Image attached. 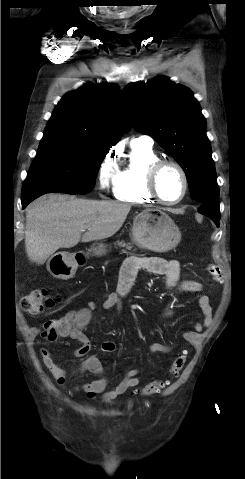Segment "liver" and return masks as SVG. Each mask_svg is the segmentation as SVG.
I'll use <instances>...</instances> for the list:
<instances>
[{"label":"liver","instance_id":"6515ba94","mask_svg":"<svg viewBox=\"0 0 245 479\" xmlns=\"http://www.w3.org/2000/svg\"><path fill=\"white\" fill-rule=\"evenodd\" d=\"M130 209V204L115 201L42 196L26 213V253L32 262L43 264L60 248L109 238L122 227Z\"/></svg>","mask_w":245,"mask_h":479}]
</instances>
